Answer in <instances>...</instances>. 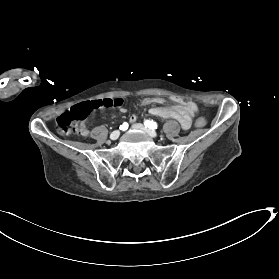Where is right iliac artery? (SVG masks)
I'll return each mask as SVG.
<instances>
[{
    "label": "right iliac artery",
    "mask_w": 279,
    "mask_h": 279,
    "mask_svg": "<svg viewBox=\"0 0 279 279\" xmlns=\"http://www.w3.org/2000/svg\"><path fill=\"white\" fill-rule=\"evenodd\" d=\"M120 129H121L122 131L127 130V129H128V123L124 122V123L120 126Z\"/></svg>",
    "instance_id": "82829eb1"
}]
</instances>
